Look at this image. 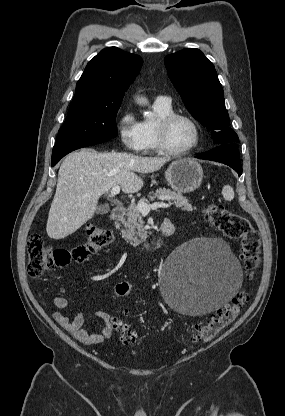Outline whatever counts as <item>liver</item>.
Returning a JSON list of instances; mask_svg holds the SVG:
<instances>
[{
    "mask_svg": "<svg viewBox=\"0 0 285 416\" xmlns=\"http://www.w3.org/2000/svg\"><path fill=\"white\" fill-rule=\"evenodd\" d=\"M166 162L169 158L98 154L90 148L69 154L58 172L46 226L49 238L63 240L79 230L93 218L100 196L110 188L120 186L124 194H136L144 184L137 174L157 172Z\"/></svg>",
    "mask_w": 285,
    "mask_h": 416,
    "instance_id": "6515ba94",
    "label": "liver"
}]
</instances>
